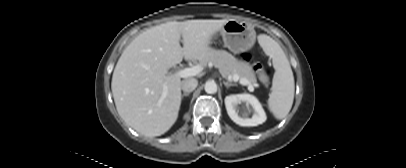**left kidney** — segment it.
Here are the masks:
<instances>
[{
  "label": "left kidney",
  "instance_id": "5707ae66",
  "mask_svg": "<svg viewBox=\"0 0 406 168\" xmlns=\"http://www.w3.org/2000/svg\"><path fill=\"white\" fill-rule=\"evenodd\" d=\"M245 103V107L240 109L239 105ZM225 107L232 121L240 126H257L266 121L265 111L259 100L250 94H232L226 96ZM253 113L249 118L248 114Z\"/></svg>",
  "mask_w": 406,
  "mask_h": 168
}]
</instances>
